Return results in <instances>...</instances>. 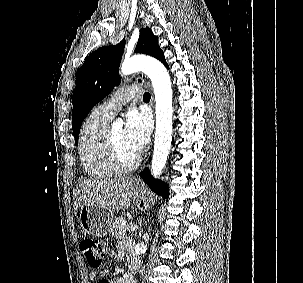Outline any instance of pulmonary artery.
I'll return each instance as SVG.
<instances>
[{
	"label": "pulmonary artery",
	"instance_id": "e3ab8cb5",
	"mask_svg": "<svg viewBox=\"0 0 303 283\" xmlns=\"http://www.w3.org/2000/svg\"><path fill=\"white\" fill-rule=\"evenodd\" d=\"M140 97L141 88L139 86H125L119 89L112 98L102 103L98 108L105 115L113 117L125 103L138 100Z\"/></svg>",
	"mask_w": 303,
	"mask_h": 283
}]
</instances>
